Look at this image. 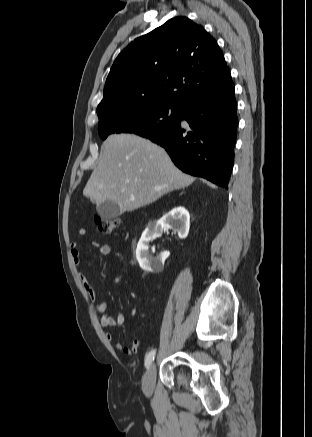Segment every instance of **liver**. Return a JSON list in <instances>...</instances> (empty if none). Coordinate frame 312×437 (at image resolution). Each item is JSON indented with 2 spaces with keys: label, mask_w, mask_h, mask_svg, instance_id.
<instances>
[{
  "label": "liver",
  "mask_w": 312,
  "mask_h": 437,
  "mask_svg": "<svg viewBox=\"0 0 312 437\" xmlns=\"http://www.w3.org/2000/svg\"><path fill=\"white\" fill-rule=\"evenodd\" d=\"M194 180L150 140L133 134H112L102 145L100 160L83 195L97 206L112 200L121 212L133 211Z\"/></svg>",
  "instance_id": "liver-1"
}]
</instances>
